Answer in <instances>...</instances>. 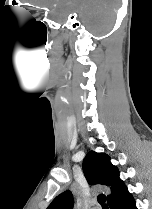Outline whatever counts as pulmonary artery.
<instances>
[{
  "instance_id": "e3ab8cb5",
  "label": "pulmonary artery",
  "mask_w": 152,
  "mask_h": 209,
  "mask_svg": "<svg viewBox=\"0 0 152 209\" xmlns=\"http://www.w3.org/2000/svg\"><path fill=\"white\" fill-rule=\"evenodd\" d=\"M91 209H98L97 207H93V208H91Z\"/></svg>"
}]
</instances>
